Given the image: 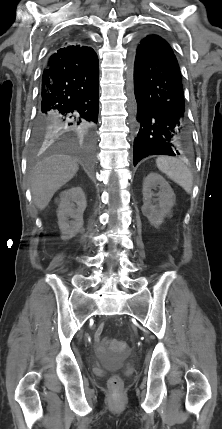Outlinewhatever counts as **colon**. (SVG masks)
<instances>
[{
    "label": "colon",
    "instance_id": "colon-1",
    "mask_svg": "<svg viewBox=\"0 0 222 429\" xmlns=\"http://www.w3.org/2000/svg\"><path fill=\"white\" fill-rule=\"evenodd\" d=\"M104 344L109 349L116 351V352H123L126 350V343L124 341H121V340L105 338ZM121 385H122V381H121V378L119 376L114 375L109 379V386L112 389L118 390L121 387Z\"/></svg>",
    "mask_w": 222,
    "mask_h": 429
}]
</instances>
